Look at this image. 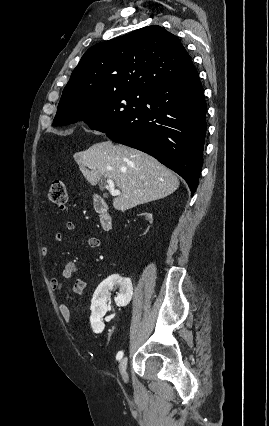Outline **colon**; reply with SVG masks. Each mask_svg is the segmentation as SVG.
Listing matches in <instances>:
<instances>
[{
	"instance_id": "1",
	"label": "colon",
	"mask_w": 269,
	"mask_h": 426,
	"mask_svg": "<svg viewBox=\"0 0 269 426\" xmlns=\"http://www.w3.org/2000/svg\"><path fill=\"white\" fill-rule=\"evenodd\" d=\"M49 201L58 207L63 208L67 202L66 186L62 181H55L49 190Z\"/></svg>"
}]
</instances>
